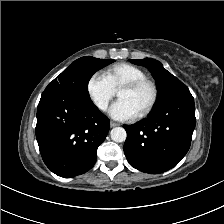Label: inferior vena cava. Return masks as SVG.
<instances>
[{"mask_svg": "<svg viewBox=\"0 0 224 224\" xmlns=\"http://www.w3.org/2000/svg\"><path fill=\"white\" fill-rule=\"evenodd\" d=\"M106 108H107V105H105L103 109H106Z\"/></svg>", "mask_w": 224, "mask_h": 224, "instance_id": "602c4592", "label": "inferior vena cava"}]
</instances>
